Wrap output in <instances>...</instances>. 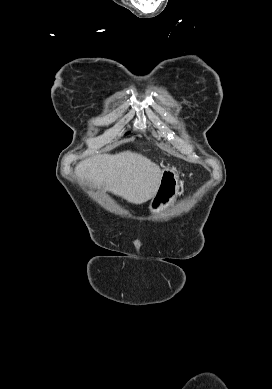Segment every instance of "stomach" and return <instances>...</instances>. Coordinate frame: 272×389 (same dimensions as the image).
Instances as JSON below:
<instances>
[{"instance_id": "1", "label": "stomach", "mask_w": 272, "mask_h": 389, "mask_svg": "<svg viewBox=\"0 0 272 389\" xmlns=\"http://www.w3.org/2000/svg\"><path fill=\"white\" fill-rule=\"evenodd\" d=\"M179 177L175 168L166 167L161 173L160 183L151 200L149 210L151 213H159L169 208L179 193Z\"/></svg>"}]
</instances>
